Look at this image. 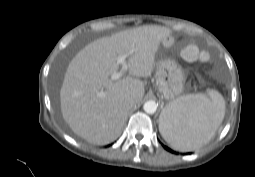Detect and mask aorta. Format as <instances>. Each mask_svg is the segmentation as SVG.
Listing matches in <instances>:
<instances>
[{"label":"aorta","mask_w":255,"mask_h":177,"mask_svg":"<svg viewBox=\"0 0 255 177\" xmlns=\"http://www.w3.org/2000/svg\"><path fill=\"white\" fill-rule=\"evenodd\" d=\"M143 109L146 113L148 114H153L156 112L157 110V104L155 101H147L145 102L144 106H143Z\"/></svg>","instance_id":"obj_1"}]
</instances>
